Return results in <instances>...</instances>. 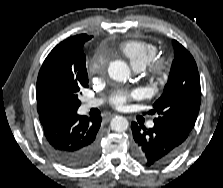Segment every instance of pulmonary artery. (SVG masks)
<instances>
[{"instance_id":"pulmonary-artery-1","label":"pulmonary artery","mask_w":223,"mask_h":188,"mask_svg":"<svg viewBox=\"0 0 223 188\" xmlns=\"http://www.w3.org/2000/svg\"><path fill=\"white\" fill-rule=\"evenodd\" d=\"M136 71H141L142 68H139V67H136L134 68ZM102 103V100L100 99H97V100H87L86 103H85V108L86 109H90L92 107H97L99 106L100 104ZM148 126L149 127H153L154 126V123L153 122H149L148 123Z\"/></svg>"}]
</instances>
